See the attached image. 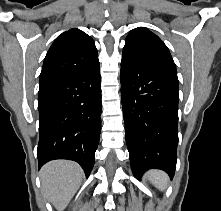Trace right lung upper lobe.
Here are the masks:
<instances>
[{"label":"right lung upper lobe","instance_id":"cb5924a9","mask_svg":"<svg viewBox=\"0 0 221 211\" xmlns=\"http://www.w3.org/2000/svg\"><path fill=\"white\" fill-rule=\"evenodd\" d=\"M98 65V53L92 38L79 29H70L59 35L51 45L44 59L40 85Z\"/></svg>","mask_w":221,"mask_h":211}]
</instances>
